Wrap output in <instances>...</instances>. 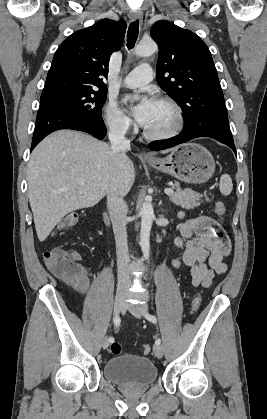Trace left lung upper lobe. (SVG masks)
Listing matches in <instances>:
<instances>
[{
    "label": "left lung upper lobe",
    "mask_w": 267,
    "mask_h": 419,
    "mask_svg": "<svg viewBox=\"0 0 267 419\" xmlns=\"http://www.w3.org/2000/svg\"><path fill=\"white\" fill-rule=\"evenodd\" d=\"M151 36L159 46L157 83L181 107L184 124L209 111H225L211 53L190 30L160 20Z\"/></svg>",
    "instance_id": "1"
}]
</instances>
